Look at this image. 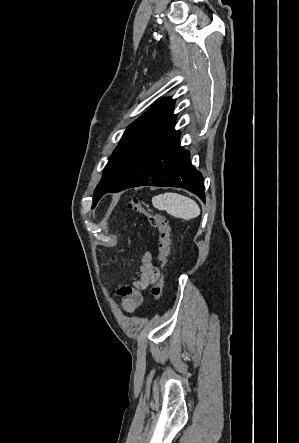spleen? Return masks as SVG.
I'll use <instances>...</instances> for the list:
<instances>
[{
  "label": "spleen",
  "instance_id": "spleen-1",
  "mask_svg": "<svg viewBox=\"0 0 299 443\" xmlns=\"http://www.w3.org/2000/svg\"><path fill=\"white\" fill-rule=\"evenodd\" d=\"M152 204L158 210H165L168 214L185 220L196 218L201 213L193 199L172 192L154 196Z\"/></svg>",
  "mask_w": 299,
  "mask_h": 443
}]
</instances>
